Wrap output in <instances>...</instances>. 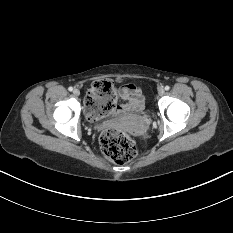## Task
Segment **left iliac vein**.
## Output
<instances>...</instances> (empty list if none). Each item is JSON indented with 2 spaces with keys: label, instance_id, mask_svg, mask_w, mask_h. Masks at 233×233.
Returning <instances> with one entry per match:
<instances>
[{
  "label": "left iliac vein",
  "instance_id": "4c4485c4",
  "mask_svg": "<svg viewBox=\"0 0 233 233\" xmlns=\"http://www.w3.org/2000/svg\"><path fill=\"white\" fill-rule=\"evenodd\" d=\"M158 93L160 96L165 94V90L163 88H159Z\"/></svg>",
  "mask_w": 233,
  "mask_h": 233
}]
</instances>
